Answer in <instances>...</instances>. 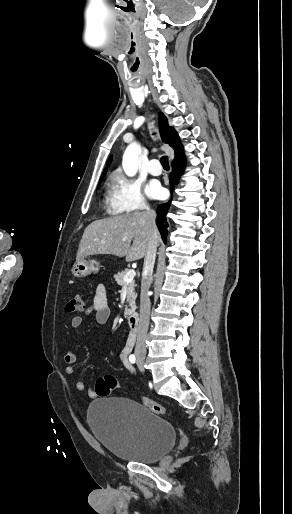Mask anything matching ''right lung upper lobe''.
Returning a JSON list of instances; mask_svg holds the SVG:
<instances>
[{"instance_id":"cb5924a9","label":"right lung upper lobe","mask_w":292,"mask_h":514,"mask_svg":"<svg viewBox=\"0 0 292 514\" xmlns=\"http://www.w3.org/2000/svg\"><path fill=\"white\" fill-rule=\"evenodd\" d=\"M159 116L160 117H159L158 125H159V131H160L162 141L164 143H168L174 149V152H175L174 160H176L184 155L183 146L179 139L178 133L172 127L169 126L168 121H167L166 117L163 115V113H159ZM112 157L113 156L111 155L107 162V166L110 165V163L112 161ZM106 172H107V168L104 170L101 178L104 177Z\"/></svg>"}]
</instances>
